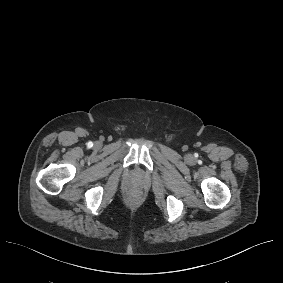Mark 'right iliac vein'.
Returning <instances> with one entry per match:
<instances>
[{"mask_svg":"<svg viewBox=\"0 0 283 283\" xmlns=\"http://www.w3.org/2000/svg\"><path fill=\"white\" fill-rule=\"evenodd\" d=\"M99 145H100V142H96L94 146L98 147Z\"/></svg>","mask_w":283,"mask_h":283,"instance_id":"1","label":"right iliac vein"}]
</instances>
